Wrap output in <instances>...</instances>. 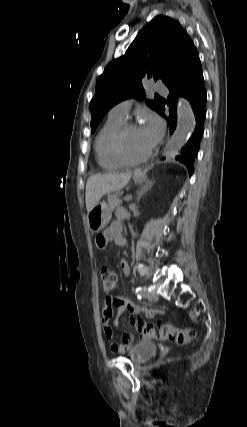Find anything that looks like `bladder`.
<instances>
[{"label":"bladder","instance_id":"31cf9c89","mask_svg":"<svg viewBox=\"0 0 247 427\" xmlns=\"http://www.w3.org/2000/svg\"><path fill=\"white\" fill-rule=\"evenodd\" d=\"M157 351V346L151 342L138 343L131 347L127 356L135 364H142L150 360Z\"/></svg>","mask_w":247,"mask_h":427}]
</instances>
